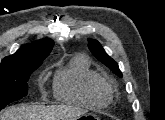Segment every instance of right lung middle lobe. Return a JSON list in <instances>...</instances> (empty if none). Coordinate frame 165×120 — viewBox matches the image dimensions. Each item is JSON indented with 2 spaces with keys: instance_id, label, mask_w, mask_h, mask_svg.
I'll return each mask as SVG.
<instances>
[{
  "instance_id": "1",
  "label": "right lung middle lobe",
  "mask_w": 165,
  "mask_h": 120,
  "mask_svg": "<svg viewBox=\"0 0 165 120\" xmlns=\"http://www.w3.org/2000/svg\"><path fill=\"white\" fill-rule=\"evenodd\" d=\"M42 61L0 64V110L28 93L27 81Z\"/></svg>"
}]
</instances>
